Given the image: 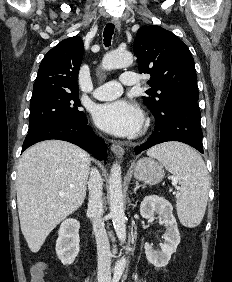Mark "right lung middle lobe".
<instances>
[{
    "label": "right lung middle lobe",
    "instance_id": "obj_1",
    "mask_svg": "<svg viewBox=\"0 0 232 282\" xmlns=\"http://www.w3.org/2000/svg\"><path fill=\"white\" fill-rule=\"evenodd\" d=\"M78 91H33L30 101L29 132L60 121L81 122L86 115L79 110Z\"/></svg>",
    "mask_w": 232,
    "mask_h": 282
}]
</instances>
